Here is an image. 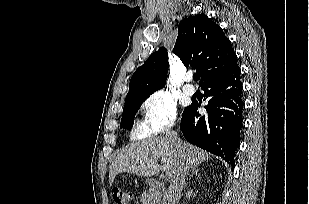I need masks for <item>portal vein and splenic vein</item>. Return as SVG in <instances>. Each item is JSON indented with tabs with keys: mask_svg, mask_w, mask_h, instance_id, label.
Instances as JSON below:
<instances>
[{
	"mask_svg": "<svg viewBox=\"0 0 309 204\" xmlns=\"http://www.w3.org/2000/svg\"><path fill=\"white\" fill-rule=\"evenodd\" d=\"M170 178H171V175L168 172H166L165 179L169 180Z\"/></svg>",
	"mask_w": 309,
	"mask_h": 204,
	"instance_id": "18ae733b",
	"label": "portal vein and splenic vein"
}]
</instances>
